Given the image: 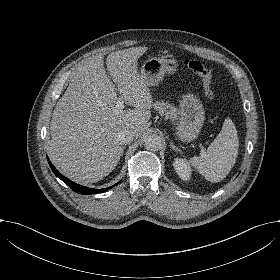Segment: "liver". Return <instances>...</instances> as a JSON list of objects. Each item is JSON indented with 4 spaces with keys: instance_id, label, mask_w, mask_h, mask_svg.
Returning a JSON list of instances; mask_svg holds the SVG:
<instances>
[{
    "instance_id": "obj_1",
    "label": "liver",
    "mask_w": 280,
    "mask_h": 280,
    "mask_svg": "<svg viewBox=\"0 0 280 280\" xmlns=\"http://www.w3.org/2000/svg\"><path fill=\"white\" fill-rule=\"evenodd\" d=\"M147 49L132 47L107 56L115 84L102 55L88 58L73 72L53 111L48 147L55 166L70 179L82 184L103 179L123 155L117 133L129 130L140 137L151 125L153 98L137 71L138 58ZM118 101L134 109L120 110Z\"/></svg>"
}]
</instances>
